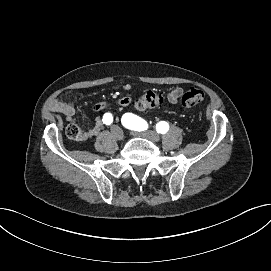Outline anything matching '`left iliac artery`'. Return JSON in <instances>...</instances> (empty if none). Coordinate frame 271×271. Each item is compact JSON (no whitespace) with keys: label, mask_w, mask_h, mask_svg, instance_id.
<instances>
[{"label":"left iliac artery","mask_w":271,"mask_h":271,"mask_svg":"<svg viewBox=\"0 0 271 271\" xmlns=\"http://www.w3.org/2000/svg\"><path fill=\"white\" fill-rule=\"evenodd\" d=\"M121 122L126 128L139 132L146 130L148 127V124L144 119L132 113H125L122 116ZM156 130L158 133L165 134L169 130V125L165 121H160L156 124Z\"/></svg>","instance_id":"left-iliac-artery-1"}]
</instances>
